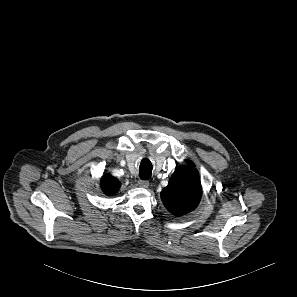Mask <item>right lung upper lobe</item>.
Returning a JSON list of instances; mask_svg holds the SVG:
<instances>
[{"mask_svg": "<svg viewBox=\"0 0 297 297\" xmlns=\"http://www.w3.org/2000/svg\"><path fill=\"white\" fill-rule=\"evenodd\" d=\"M101 188L107 195H114L120 188V182L111 175H105L101 179Z\"/></svg>", "mask_w": 297, "mask_h": 297, "instance_id": "1", "label": "right lung upper lobe"}]
</instances>
